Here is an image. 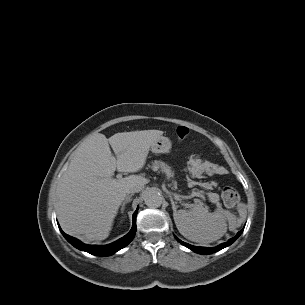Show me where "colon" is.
Here are the masks:
<instances>
[{
    "label": "colon",
    "mask_w": 305,
    "mask_h": 305,
    "mask_svg": "<svg viewBox=\"0 0 305 305\" xmlns=\"http://www.w3.org/2000/svg\"><path fill=\"white\" fill-rule=\"evenodd\" d=\"M190 130L185 126H179L176 129V135L179 140H184L189 135ZM222 199L226 207H228L233 213L234 208L239 202V193L231 187H227L222 191Z\"/></svg>",
    "instance_id": "obj_1"
}]
</instances>
